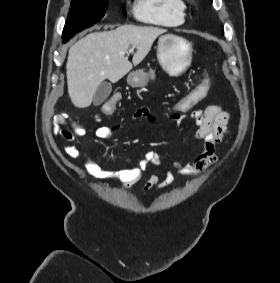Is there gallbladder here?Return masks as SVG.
Listing matches in <instances>:
<instances>
[{
	"label": "gallbladder",
	"instance_id": "1",
	"mask_svg": "<svg viewBox=\"0 0 280 283\" xmlns=\"http://www.w3.org/2000/svg\"><path fill=\"white\" fill-rule=\"evenodd\" d=\"M111 91H112L111 83H109V82H102L98 86V88H97V90H96V92H95V94L93 96V105L94 106H99L100 104H102L108 98V96L110 95Z\"/></svg>",
	"mask_w": 280,
	"mask_h": 283
}]
</instances>
